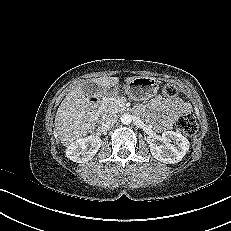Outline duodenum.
<instances>
[{"label":"duodenum","instance_id":"410a0bca","mask_svg":"<svg viewBox=\"0 0 231 231\" xmlns=\"http://www.w3.org/2000/svg\"><path fill=\"white\" fill-rule=\"evenodd\" d=\"M89 107L91 109V117L93 119H96L97 117V109H98V106H99V103H100V99L97 97V96H92L90 97L89 99Z\"/></svg>","mask_w":231,"mask_h":231}]
</instances>
